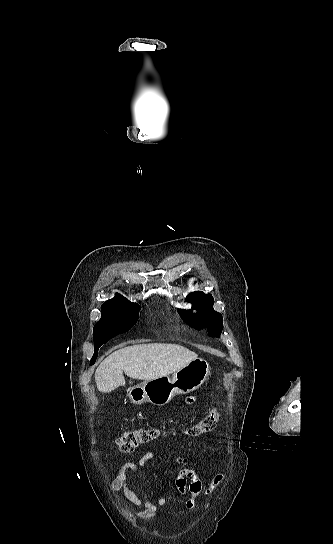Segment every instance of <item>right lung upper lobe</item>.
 <instances>
[{
    "mask_svg": "<svg viewBox=\"0 0 333 544\" xmlns=\"http://www.w3.org/2000/svg\"><path fill=\"white\" fill-rule=\"evenodd\" d=\"M120 301H127V299L119 294H116V296L113 299H110L106 301L105 303L120 302Z\"/></svg>",
    "mask_w": 333,
    "mask_h": 544,
    "instance_id": "cb5924a9",
    "label": "right lung upper lobe"
}]
</instances>
